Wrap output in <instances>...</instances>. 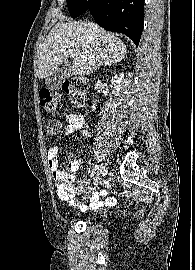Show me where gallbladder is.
Returning a JSON list of instances; mask_svg holds the SVG:
<instances>
[{
  "instance_id": "obj_1",
  "label": "gallbladder",
  "mask_w": 195,
  "mask_h": 270,
  "mask_svg": "<svg viewBox=\"0 0 195 270\" xmlns=\"http://www.w3.org/2000/svg\"><path fill=\"white\" fill-rule=\"evenodd\" d=\"M71 76L70 64L65 62L45 79V84L50 90L60 89L62 83Z\"/></svg>"
}]
</instances>
